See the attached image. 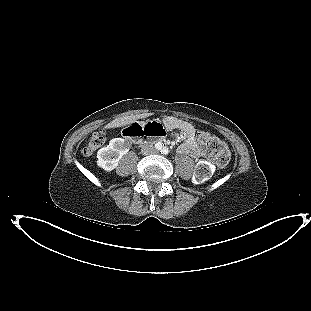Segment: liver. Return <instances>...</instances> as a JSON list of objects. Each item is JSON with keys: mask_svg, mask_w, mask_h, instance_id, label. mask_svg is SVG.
<instances>
[{"mask_svg": "<svg viewBox=\"0 0 311 311\" xmlns=\"http://www.w3.org/2000/svg\"><path fill=\"white\" fill-rule=\"evenodd\" d=\"M149 115H150L149 113H146V114L131 115V116L116 118L115 120L108 123L104 128L110 129V128L122 127V126L135 122L137 119L146 118Z\"/></svg>", "mask_w": 311, "mask_h": 311, "instance_id": "6515ba94", "label": "liver"}]
</instances>
